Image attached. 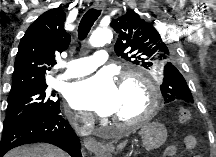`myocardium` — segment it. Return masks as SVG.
<instances>
[{"instance_id": "myocardium-1", "label": "myocardium", "mask_w": 216, "mask_h": 157, "mask_svg": "<svg viewBox=\"0 0 216 157\" xmlns=\"http://www.w3.org/2000/svg\"><path fill=\"white\" fill-rule=\"evenodd\" d=\"M127 82H137L145 87L147 91V107L145 111L135 119L121 120L118 118H113V120L123 126L136 127L149 121L154 116L160 106L161 96L153 81L141 71L136 70L124 72L121 75L120 86Z\"/></svg>"}]
</instances>
